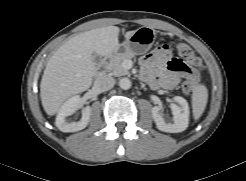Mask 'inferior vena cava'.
<instances>
[{
	"instance_id": "obj_1",
	"label": "inferior vena cava",
	"mask_w": 246,
	"mask_h": 181,
	"mask_svg": "<svg viewBox=\"0 0 246 181\" xmlns=\"http://www.w3.org/2000/svg\"><path fill=\"white\" fill-rule=\"evenodd\" d=\"M114 85L115 79L109 75L99 76L94 83L95 88L101 92L112 89Z\"/></svg>"
}]
</instances>
